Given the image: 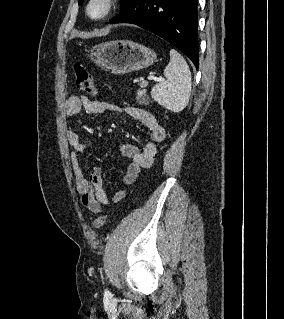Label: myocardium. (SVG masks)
Here are the masks:
<instances>
[{"instance_id":"myocardium-1","label":"myocardium","mask_w":284,"mask_h":319,"mask_svg":"<svg viewBox=\"0 0 284 319\" xmlns=\"http://www.w3.org/2000/svg\"><path fill=\"white\" fill-rule=\"evenodd\" d=\"M95 3H101L103 7L101 13L98 15H93L90 11L91 7ZM116 3L117 0H88L85 6L86 16L92 21H102L111 15L116 6Z\"/></svg>"}]
</instances>
